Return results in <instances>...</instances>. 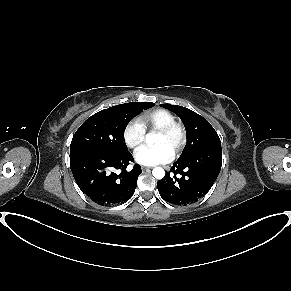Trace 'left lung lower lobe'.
<instances>
[{
  "mask_svg": "<svg viewBox=\"0 0 291 291\" xmlns=\"http://www.w3.org/2000/svg\"><path fill=\"white\" fill-rule=\"evenodd\" d=\"M222 163V148L211 147L174 162L165 177L157 182L160 196L169 203H194L208 193Z\"/></svg>",
  "mask_w": 291,
  "mask_h": 291,
  "instance_id": "left-lung-lower-lobe-1",
  "label": "left lung lower lobe"
}]
</instances>
